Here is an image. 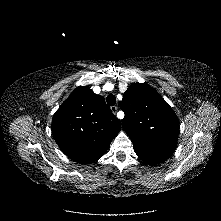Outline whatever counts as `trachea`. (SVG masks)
I'll use <instances>...</instances> for the list:
<instances>
[{"mask_svg":"<svg viewBox=\"0 0 221 221\" xmlns=\"http://www.w3.org/2000/svg\"><path fill=\"white\" fill-rule=\"evenodd\" d=\"M106 101L110 106H114L116 104V97L110 94L106 97Z\"/></svg>","mask_w":221,"mask_h":221,"instance_id":"1","label":"trachea"}]
</instances>
